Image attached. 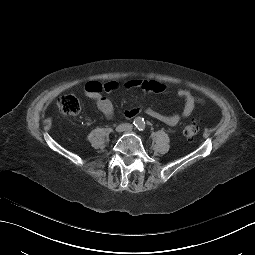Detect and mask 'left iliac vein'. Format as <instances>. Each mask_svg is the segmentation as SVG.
Segmentation results:
<instances>
[{
    "label": "left iliac vein",
    "instance_id": "obj_1",
    "mask_svg": "<svg viewBox=\"0 0 255 255\" xmlns=\"http://www.w3.org/2000/svg\"><path fill=\"white\" fill-rule=\"evenodd\" d=\"M128 130H129V131H131L132 129H131V128H129Z\"/></svg>",
    "mask_w": 255,
    "mask_h": 255
}]
</instances>
